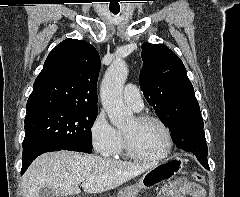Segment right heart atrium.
<instances>
[{
	"label": "right heart atrium",
	"instance_id": "d8ad5b80",
	"mask_svg": "<svg viewBox=\"0 0 240 197\" xmlns=\"http://www.w3.org/2000/svg\"><path fill=\"white\" fill-rule=\"evenodd\" d=\"M90 143L102 156H111L118 147L121 135L110 124L104 111H99L89 127Z\"/></svg>",
	"mask_w": 240,
	"mask_h": 197
}]
</instances>
